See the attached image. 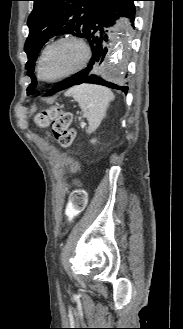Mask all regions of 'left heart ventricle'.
<instances>
[{
    "mask_svg": "<svg viewBox=\"0 0 183 329\" xmlns=\"http://www.w3.org/2000/svg\"><path fill=\"white\" fill-rule=\"evenodd\" d=\"M84 51L81 45L68 40L52 47L46 54L43 62V75L46 78H55L74 68L83 60Z\"/></svg>",
    "mask_w": 183,
    "mask_h": 329,
    "instance_id": "obj_1",
    "label": "left heart ventricle"
}]
</instances>
